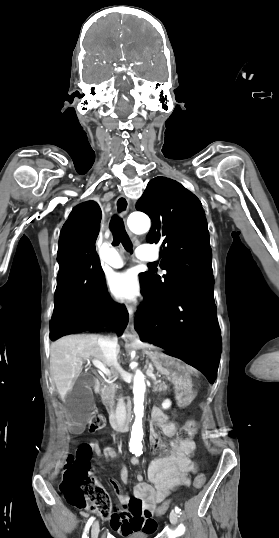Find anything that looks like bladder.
<instances>
[{
    "label": "bladder",
    "instance_id": "obj_1",
    "mask_svg": "<svg viewBox=\"0 0 279 538\" xmlns=\"http://www.w3.org/2000/svg\"><path fill=\"white\" fill-rule=\"evenodd\" d=\"M129 538H147L146 532H130Z\"/></svg>",
    "mask_w": 279,
    "mask_h": 538
}]
</instances>
